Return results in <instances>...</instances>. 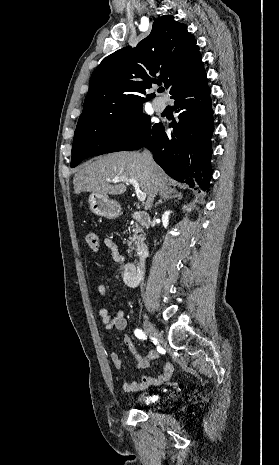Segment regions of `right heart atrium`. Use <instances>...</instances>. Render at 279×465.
<instances>
[{"mask_svg":"<svg viewBox=\"0 0 279 465\" xmlns=\"http://www.w3.org/2000/svg\"><path fill=\"white\" fill-rule=\"evenodd\" d=\"M133 126V124L131 122H128L126 125H125V128H131Z\"/></svg>","mask_w":279,"mask_h":465,"instance_id":"right-heart-atrium-1","label":"right heart atrium"}]
</instances>
